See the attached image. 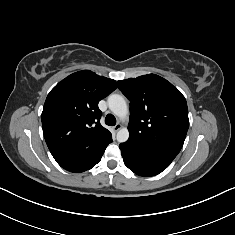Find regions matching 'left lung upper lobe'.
Returning a JSON list of instances; mask_svg holds the SVG:
<instances>
[{
	"instance_id": "5c2ea615",
	"label": "left lung upper lobe",
	"mask_w": 235,
	"mask_h": 235,
	"mask_svg": "<svg viewBox=\"0 0 235 235\" xmlns=\"http://www.w3.org/2000/svg\"><path fill=\"white\" fill-rule=\"evenodd\" d=\"M118 87L130 100L128 142L173 160L189 127L182 93L155 74L118 81Z\"/></svg>"
}]
</instances>
